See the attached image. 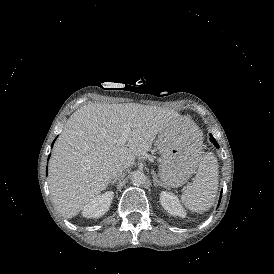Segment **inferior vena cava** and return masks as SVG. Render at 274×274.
I'll return each mask as SVG.
<instances>
[{"label": "inferior vena cava", "mask_w": 274, "mask_h": 274, "mask_svg": "<svg viewBox=\"0 0 274 274\" xmlns=\"http://www.w3.org/2000/svg\"><path fill=\"white\" fill-rule=\"evenodd\" d=\"M126 167L123 165H118L114 171L115 177H118L122 175V173L125 171Z\"/></svg>", "instance_id": "1"}]
</instances>
